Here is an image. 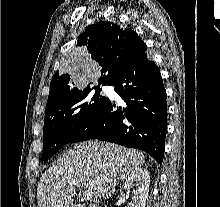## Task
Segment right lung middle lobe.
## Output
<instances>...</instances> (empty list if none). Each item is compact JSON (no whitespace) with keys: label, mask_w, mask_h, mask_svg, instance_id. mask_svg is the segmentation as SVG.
<instances>
[{"label":"right lung middle lobe","mask_w":220,"mask_h":207,"mask_svg":"<svg viewBox=\"0 0 220 207\" xmlns=\"http://www.w3.org/2000/svg\"><path fill=\"white\" fill-rule=\"evenodd\" d=\"M93 89L95 91H93ZM100 86L78 89L60 97L45 110L42 160L53 156L71 135L104 104Z\"/></svg>","instance_id":"1"}]
</instances>
